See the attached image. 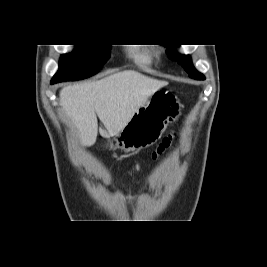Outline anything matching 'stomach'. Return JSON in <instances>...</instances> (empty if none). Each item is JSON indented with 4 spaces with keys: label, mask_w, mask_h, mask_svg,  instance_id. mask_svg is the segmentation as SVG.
Listing matches in <instances>:
<instances>
[{
    "label": "stomach",
    "mask_w": 267,
    "mask_h": 267,
    "mask_svg": "<svg viewBox=\"0 0 267 267\" xmlns=\"http://www.w3.org/2000/svg\"><path fill=\"white\" fill-rule=\"evenodd\" d=\"M180 110L177 97L169 91L157 90L119 134L108 138L107 145L127 152L149 147L161 138L168 124L178 118Z\"/></svg>",
    "instance_id": "0dacf381"
}]
</instances>
